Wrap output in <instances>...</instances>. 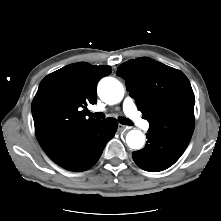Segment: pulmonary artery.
Wrapping results in <instances>:
<instances>
[{
    "mask_svg": "<svg viewBox=\"0 0 221 221\" xmlns=\"http://www.w3.org/2000/svg\"><path fill=\"white\" fill-rule=\"evenodd\" d=\"M123 110L136 126L144 129L149 128V123L140 117L135 102L130 96L125 97L123 101Z\"/></svg>",
    "mask_w": 221,
    "mask_h": 221,
    "instance_id": "e3ab8cb5",
    "label": "pulmonary artery"
}]
</instances>
